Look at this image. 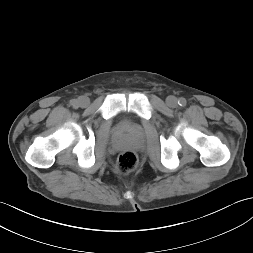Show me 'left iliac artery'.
I'll use <instances>...</instances> for the list:
<instances>
[{"label": "left iliac artery", "mask_w": 253, "mask_h": 253, "mask_svg": "<svg viewBox=\"0 0 253 253\" xmlns=\"http://www.w3.org/2000/svg\"><path fill=\"white\" fill-rule=\"evenodd\" d=\"M178 104H179L180 106H185V105H186V100H185V98H180V99L178 100Z\"/></svg>", "instance_id": "1"}]
</instances>
